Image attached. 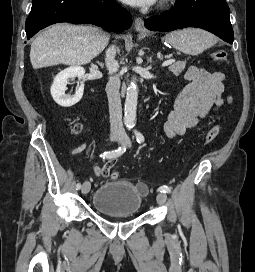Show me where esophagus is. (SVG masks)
<instances>
[{
	"label": "esophagus",
	"mask_w": 255,
	"mask_h": 272,
	"mask_svg": "<svg viewBox=\"0 0 255 272\" xmlns=\"http://www.w3.org/2000/svg\"><path fill=\"white\" fill-rule=\"evenodd\" d=\"M134 28L136 29V31H139V32H146V29H145V27H144V21H143L142 18L137 17V18L135 19Z\"/></svg>",
	"instance_id": "1"
}]
</instances>
